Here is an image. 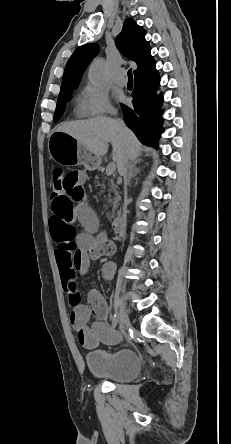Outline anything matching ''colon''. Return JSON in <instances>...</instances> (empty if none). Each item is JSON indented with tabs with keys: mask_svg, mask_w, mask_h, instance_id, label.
<instances>
[{
	"mask_svg": "<svg viewBox=\"0 0 231 444\" xmlns=\"http://www.w3.org/2000/svg\"><path fill=\"white\" fill-rule=\"evenodd\" d=\"M65 172L62 168H55L52 172V198L60 199L66 196Z\"/></svg>",
	"mask_w": 231,
	"mask_h": 444,
	"instance_id": "obj_1",
	"label": "colon"
}]
</instances>
